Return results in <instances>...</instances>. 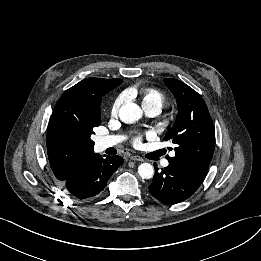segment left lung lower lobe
<instances>
[{
	"label": "left lung lower lobe",
	"mask_w": 261,
	"mask_h": 261,
	"mask_svg": "<svg viewBox=\"0 0 261 261\" xmlns=\"http://www.w3.org/2000/svg\"><path fill=\"white\" fill-rule=\"evenodd\" d=\"M199 186L180 169L169 164L160 172L155 167V175L153 182L149 185V192L157 200L173 205L189 198Z\"/></svg>",
	"instance_id": "obj_1"
}]
</instances>
